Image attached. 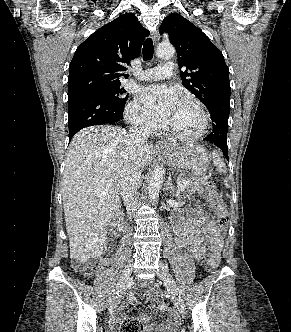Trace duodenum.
<instances>
[{
	"mask_svg": "<svg viewBox=\"0 0 291 332\" xmlns=\"http://www.w3.org/2000/svg\"><path fill=\"white\" fill-rule=\"evenodd\" d=\"M123 230V215L118 214L112 222V232L115 236H119Z\"/></svg>",
	"mask_w": 291,
	"mask_h": 332,
	"instance_id": "1",
	"label": "duodenum"
}]
</instances>
